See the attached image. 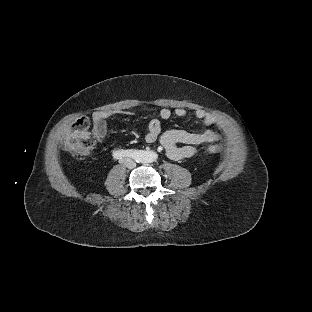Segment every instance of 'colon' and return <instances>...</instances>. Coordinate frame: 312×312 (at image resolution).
<instances>
[{"instance_id":"obj_1","label":"colon","mask_w":312,"mask_h":312,"mask_svg":"<svg viewBox=\"0 0 312 312\" xmlns=\"http://www.w3.org/2000/svg\"><path fill=\"white\" fill-rule=\"evenodd\" d=\"M73 132L65 137V145L68 150L76 155H86L94 147L96 138L89 129V121L84 116H77L72 121ZM207 153L216 154L220 146L210 144L206 148Z\"/></svg>"}]
</instances>
